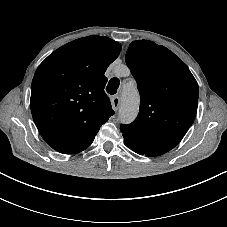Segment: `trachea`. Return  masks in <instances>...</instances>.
<instances>
[{"label":"trachea","mask_w":227,"mask_h":227,"mask_svg":"<svg viewBox=\"0 0 227 227\" xmlns=\"http://www.w3.org/2000/svg\"><path fill=\"white\" fill-rule=\"evenodd\" d=\"M120 85V80L118 78H112L109 82L108 85L106 87V91L109 94H116L117 89Z\"/></svg>","instance_id":"trachea-1"}]
</instances>
